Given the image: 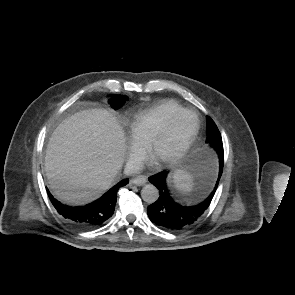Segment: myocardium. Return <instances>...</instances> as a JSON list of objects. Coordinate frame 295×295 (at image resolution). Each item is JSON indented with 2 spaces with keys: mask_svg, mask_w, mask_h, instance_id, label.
Returning a JSON list of instances; mask_svg holds the SVG:
<instances>
[{
  "mask_svg": "<svg viewBox=\"0 0 295 295\" xmlns=\"http://www.w3.org/2000/svg\"><path fill=\"white\" fill-rule=\"evenodd\" d=\"M184 116H191L193 118V128L187 136L184 143L170 156L156 159L155 153L160 146L161 142L167 137V135L173 129L175 123ZM200 129L199 118L195 112L187 109H183L176 113L164 126L163 128L152 138L147 147V154L149 159L153 160L159 167L169 166L176 164L189 152L192 145L194 144Z\"/></svg>",
  "mask_w": 295,
  "mask_h": 295,
  "instance_id": "myocardium-1",
  "label": "myocardium"
}]
</instances>
